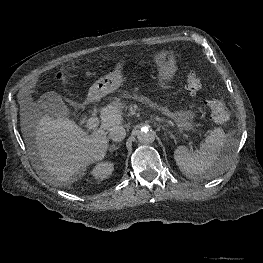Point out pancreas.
I'll list each match as a JSON object with an SVG mask.
<instances>
[{
    "mask_svg": "<svg viewBox=\"0 0 263 263\" xmlns=\"http://www.w3.org/2000/svg\"><path fill=\"white\" fill-rule=\"evenodd\" d=\"M123 97L125 98H132L134 100H137L139 102H141L142 104H147L149 107H151L152 109L156 108V104L154 102H152L149 98L141 95V96H137V95H130L129 93H124Z\"/></svg>",
    "mask_w": 263,
    "mask_h": 263,
    "instance_id": "cf45deb5",
    "label": "pancreas"
}]
</instances>
